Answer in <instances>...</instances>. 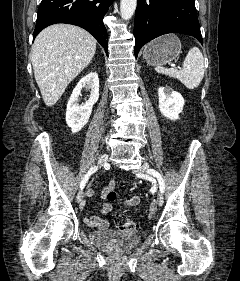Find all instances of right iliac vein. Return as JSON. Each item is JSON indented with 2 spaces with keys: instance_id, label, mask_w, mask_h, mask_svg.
I'll return each instance as SVG.
<instances>
[{
  "instance_id": "right-iliac-vein-1",
  "label": "right iliac vein",
  "mask_w": 240,
  "mask_h": 281,
  "mask_svg": "<svg viewBox=\"0 0 240 281\" xmlns=\"http://www.w3.org/2000/svg\"><path fill=\"white\" fill-rule=\"evenodd\" d=\"M108 161V155L104 154L102 156H100V158L98 159V166H103L104 164H106V162ZM84 197V190L82 189L81 191L78 192L76 200L77 202H80Z\"/></svg>"
}]
</instances>
